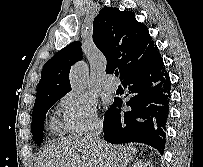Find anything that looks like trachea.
Segmentation results:
<instances>
[{
	"instance_id": "3493384b",
	"label": "trachea",
	"mask_w": 203,
	"mask_h": 167,
	"mask_svg": "<svg viewBox=\"0 0 203 167\" xmlns=\"http://www.w3.org/2000/svg\"><path fill=\"white\" fill-rule=\"evenodd\" d=\"M118 74H119L118 71H115V76H118Z\"/></svg>"
}]
</instances>
